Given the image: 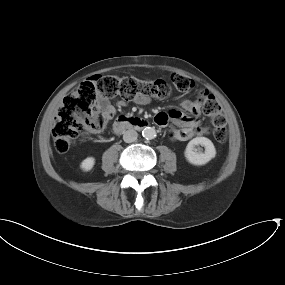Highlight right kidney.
Listing matches in <instances>:
<instances>
[{
  "instance_id": "ca27d5eb",
  "label": "right kidney",
  "mask_w": 285,
  "mask_h": 285,
  "mask_svg": "<svg viewBox=\"0 0 285 285\" xmlns=\"http://www.w3.org/2000/svg\"><path fill=\"white\" fill-rule=\"evenodd\" d=\"M94 164H95V158L87 157L81 162L80 167L83 171L88 172L93 168Z\"/></svg>"
}]
</instances>
